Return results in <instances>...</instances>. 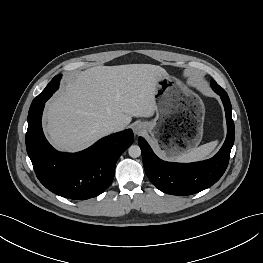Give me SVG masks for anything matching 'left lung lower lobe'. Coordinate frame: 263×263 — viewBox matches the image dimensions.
Returning a JSON list of instances; mask_svg holds the SVG:
<instances>
[{
  "label": "left lung lower lobe",
  "mask_w": 263,
  "mask_h": 263,
  "mask_svg": "<svg viewBox=\"0 0 263 263\" xmlns=\"http://www.w3.org/2000/svg\"><path fill=\"white\" fill-rule=\"evenodd\" d=\"M212 88L221 97L227 121L226 140L214 157L194 163L166 162L154 154L142 137L138 138L146 175L164 193L172 195L198 193L216 183L227 168L235 138L231 103L226 91L219 85H214Z\"/></svg>",
  "instance_id": "left-lung-lower-lobe-1"
}]
</instances>
